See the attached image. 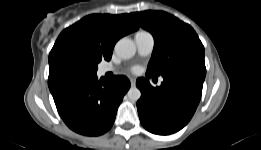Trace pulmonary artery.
Returning a JSON list of instances; mask_svg holds the SVG:
<instances>
[{"mask_svg":"<svg viewBox=\"0 0 261 150\" xmlns=\"http://www.w3.org/2000/svg\"><path fill=\"white\" fill-rule=\"evenodd\" d=\"M135 44L140 56H148L153 51L154 38L151 33L140 31L135 35ZM110 71H113V68L110 66H103L99 70L100 74H106ZM160 81H162V79H160Z\"/></svg>","mask_w":261,"mask_h":150,"instance_id":"1","label":"pulmonary artery"}]
</instances>
